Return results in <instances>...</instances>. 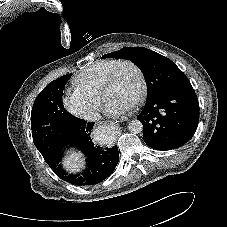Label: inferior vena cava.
I'll list each match as a JSON object with an SVG mask.
<instances>
[{"instance_id": "obj_1", "label": "inferior vena cava", "mask_w": 227, "mask_h": 227, "mask_svg": "<svg viewBox=\"0 0 227 227\" xmlns=\"http://www.w3.org/2000/svg\"><path fill=\"white\" fill-rule=\"evenodd\" d=\"M83 118L89 121H97L101 118V115L97 111L90 110L83 115Z\"/></svg>"}]
</instances>
